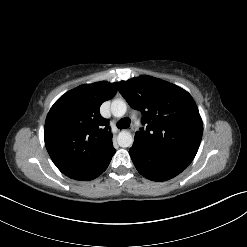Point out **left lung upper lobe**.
Here are the masks:
<instances>
[{"mask_svg": "<svg viewBox=\"0 0 247 247\" xmlns=\"http://www.w3.org/2000/svg\"><path fill=\"white\" fill-rule=\"evenodd\" d=\"M119 92L142 113L146 129L135 133L134 143L181 168L194 159L203 133L198 108L182 88L166 81L140 76L119 82Z\"/></svg>", "mask_w": 247, "mask_h": 247, "instance_id": "left-lung-upper-lobe-1", "label": "left lung upper lobe"}]
</instances>
